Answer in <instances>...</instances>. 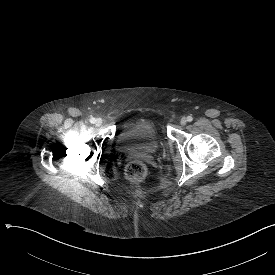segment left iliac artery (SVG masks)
I'll return each mask as SVG.
<instances>
[{
	"label": "left iliac artery",
	"instance_id": "44dca946",
	"mask_svg": "<svg viewBox=\"0 0 275 275\" xmlns=\"http://www.w3.org/2000/svg\"><path fill=\"white\" fill-rule=\"evenodd\" d=\"M192 120H193V117H192V116H188V117H187V121H188V122H191Z\"/></svg>",
	"mask_w": 275,
	"mask_h": 275
}]
</instances>
